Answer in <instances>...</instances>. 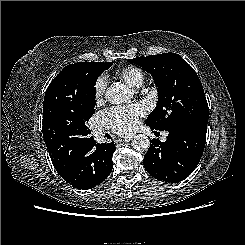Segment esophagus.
Segmentation results:
<instances>
[{"instance_id":"esophagus-1","label":"esophagus","mask_w":245,"mask_h":245,"mask_svg":"<svg viewBox=\"0 0 245 245\" xmlns=\"http://www.w3.org/2000/svg\"><path fill=\"white\" fill-rule=\"evenodd\" d=\"M132 139V137H127V138H125V139H121V140H119V143H121V142H123V141H125V142H128V141H130Z\"/></svg>"}]
</instances>
